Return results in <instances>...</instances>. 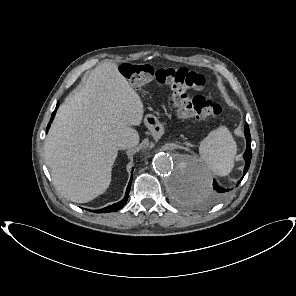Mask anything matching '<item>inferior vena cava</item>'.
Returning a JSON list of instances; mask_svg holds the SVG:
<instances>
[{
    "instance_id": "obj_1",
    "label": "inferior vena cava",
    "mask_w": 296,
    "mask_h": 296,
    "mask_svg": "<svg viewBox=\"0 0 296 296\" xmlns=\"http://www.w3.org/2000/svg\"><path fill=\"white\" fill-rule=\"evenodd\" d=\"M134 144L129 138H123L117 142L118 149H126L132 147Z\"/></svg>"
}]
</instances>
